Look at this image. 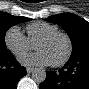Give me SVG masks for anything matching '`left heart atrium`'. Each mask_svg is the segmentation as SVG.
Wrapping results in <instances>:
<instances>
[{
    "instance_id": "left-heart-atrium-1",
    "label": "left heart atrium",
    "mask_w": 89,
    "mask_h": 89,
    "mask_svg": "<svg viewBox=\"0 0 89 89\" xmlns=\"http://www.w3.org/2000/svg\"><path fill=\"white\" fill-rule=\"evenodd\" d=\"M19 60L22 64L29 66H46L51 64L50 58L43 51L23 55Z\"/></svg>"
}]
</instances>
